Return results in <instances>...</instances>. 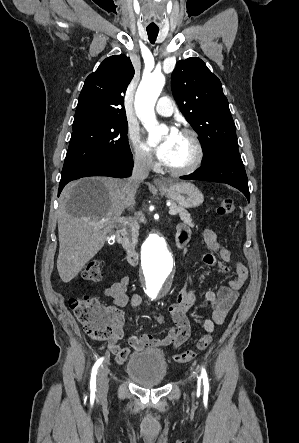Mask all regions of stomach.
Instances as JSON below:
<instances>
[{"label": "stomach", "instance_id": "stomach-1", "mask_svg": "<svg viewBox=\"0 0 299 443\" xmlns=\"http://www.w3.org/2000/svg\"><path fill=\"white\" fill-rule=\"evenodd\" d=\"M158 189L161 194L183 208H195L204 201L202 192L189 182H168Z\"/></svg>", "mask_w": 299, "mask_h": 443}]
</instances>
